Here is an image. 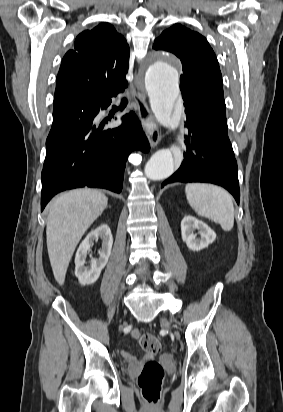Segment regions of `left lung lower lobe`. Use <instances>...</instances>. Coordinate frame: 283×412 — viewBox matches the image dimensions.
Returning <instances> with one entry per match:
<instances>
[{"label":"left lung lower lobe","instance_id":"1","mask_svg":"<svg viewBox=\"0 0 283 412\" xmlns=\"http://www.w3.org/2000/svg\"><path fill=\"white\" fill-rule=\"evenodd\" d=\"M186 151L179 169L161 187L174 182H206L220 185L240 200L237 162L228 138L227 122H214L196 108L185 105Z\"/></svg>","mask_w":283,"mask_h":412}]
</instances>
